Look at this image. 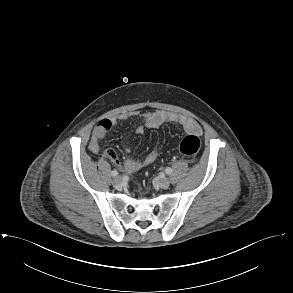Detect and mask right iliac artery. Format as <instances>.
<instances>
[{
	"mask_svg": "<svg viewBox=\"0 0 293 293\" xmlns=\"http://www.w3.org/2000/svg\"><path fill=\"white\" fill-rule=\"evenodd\" d=\"M112 177H116L118 175V172L116 170H113L111 172Z\"/></svg>",
	"mask_w": 293,
	"mask_h": 293,
	"instance_id": "82829eb1",
	"label": "right iliac artery"
}]
</instances>
